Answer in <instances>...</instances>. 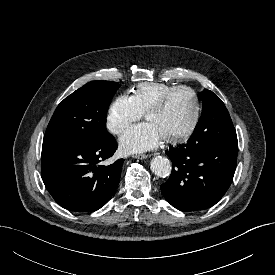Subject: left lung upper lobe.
<instances>
[{
  "label": "left lung upper lobe",
  "mask_w": 275,
  "mask_h": 275,
  "mask_svg": "<svg viewBox=\"0 0 275 275\" xmlns=\"http://www.w3.org/2000/svg\"><path fill=\"white\" fill-rule=\"evenodd\" d=\"M203 93L202 115L184 146L238 147L237 135L224 103L210 90Z\"/></svg>",
  "instance_id": "left-lung-upper-lobe-1"
}]
</instances>
